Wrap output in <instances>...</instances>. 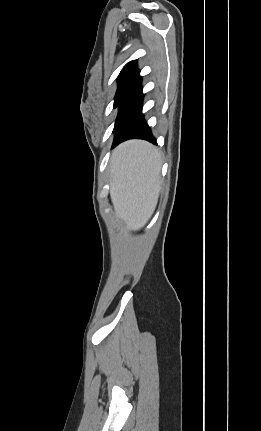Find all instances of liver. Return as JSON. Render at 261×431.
<instances>
[{
	"label": "liver",
	"mask_w": 261,
	"mask_h": 431,
	"mask_svg": "<svg viewBox=\"0 0 261 431\" xmlns=\"http://www.w3.org/2000/svg\"><path fill=\"white\" fill-rule=\"evenodd\" d=\"M161 154L152 144L130 140L110 159V197L127 231L142 229L155 211L160 192Z\"/></svg>",
	"instance_id": "obj_1"
}]
</instances>
